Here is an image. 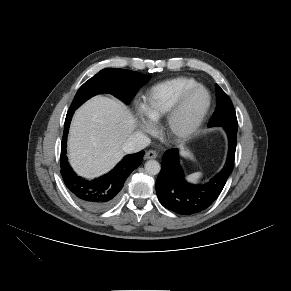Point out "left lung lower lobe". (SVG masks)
<instances>
[{
	"label": "left lung lower lobe",
	"instance_id": "1",
	"mask_svg": "<svg viewBox=\"0 0 291 291\" xmlns=\"http://www.w3.org/2000/svg\"><path fill=\"white\" fill-rule=\"evenodd\" d=\"M209 126L224 127L229 139V153L224 168L208 183L194 185L184 179L177 149L163 155L156 193L161 204L177 214L192 215L207 209L218 198L233 170L238 124L221 122Z\"/></svg>",
	"mask_w": 291,
	"mask_h": 291
}]
</instances>
